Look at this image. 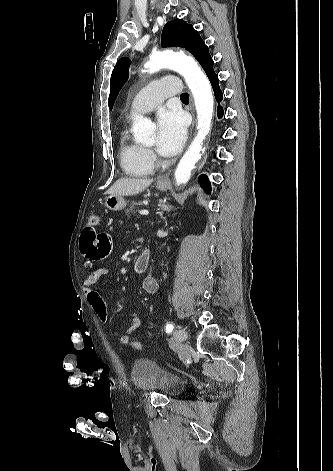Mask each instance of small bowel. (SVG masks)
<instances>
[{
    "instance_id": "small-bowel-1",
    "label": "small bowel",
    "mask_w": 333,
    "mask_h": 471,
    "mask_svg": "<svg viewBox=\"0 0 333 471\" xmlns=\"http://www.w3.org/2000/svg\"><path fill=\"white\" fill-rule=\"evenodd\" d=\"M111 249V240L106 234H99L95 228L88 224L83 230L80 239V251L86 260L87 273L84 279L85 296L88 304L103 323L109 320L107 305L102 295L97 291V283L109 275L108 269L97 266L96 263L106 257ZM141 327V320L134 317L125 334L119 337L122 345L130 343V335Z\"/></svg>"
}]
</instances>
